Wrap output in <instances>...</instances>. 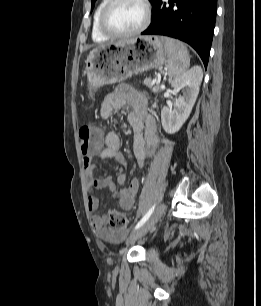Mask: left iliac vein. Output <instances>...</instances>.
<instances>
[{"instance_id":"1","label":"left iliac vein","mask_w":261,"mask_h":306,"mask_svg":"<svg viewBox=\"0 0 261 306\" xmlns=\"http://www.w3.org/2000/svg\"><path fill=\"white\" fill-rule=\"evenodd\" d=\"M165 204L159 205L153 215L138 229H136L126 240V245L135 242L139 238H141L149 229H151L154 224L161 218L165 211Z\"/></svg>"}]
</instances>
